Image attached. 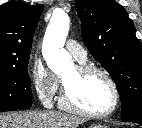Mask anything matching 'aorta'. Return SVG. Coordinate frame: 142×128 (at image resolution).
Instances as JSON below:
<instances>
[{"mask_svg":"<svg viewBox=\"0 0 142 128\" xmlns=\"http://www.w3.org/2000/svg\"><path fill=\"white\" fill-rule=\"evenodd\" d=\"M69 24V16L64 11L54 12L43 40V56L49 68L57 74L71 65V56L63 49L69 31Z\"/></svg>","mask_w":142,"mask_h":128,"instance_id":"762f6f07","label":"aorta"}]
</instances>
